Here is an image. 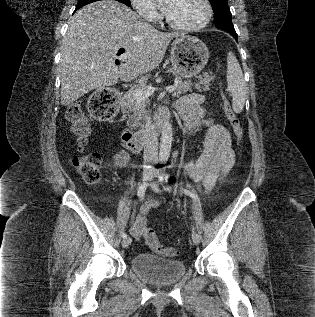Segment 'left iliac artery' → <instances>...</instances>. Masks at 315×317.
<instances>
[{
  "label": "left iliac artery",
  "mask_w": 315,
  "mask_h": 317,
  "mask_svg": "<svg viewBox=\"0 0 315 317\" xmlns=\"http://www.w3.org/2000/svg\"><path fill=\"white\" fill-rule=\"evenodd\" d=\"M158 178H159V181H160L161 183H163L164 181L167 180V176H166V174H165L164 171L162 172V174H161ZM153 188H154L155 191H159V188H158L157 185H154ZM164 189H165V190H171V188L168 187V186H164ZM182 191H183L185 194L189 195L190 197L195 198V194H193L192 192H190V191H188V190H182Z\"/></svg>",
  "instance_id": "obj_1"
}]
</instances>
